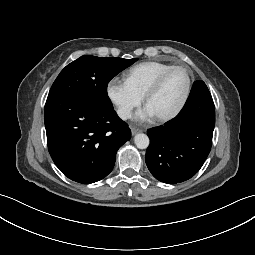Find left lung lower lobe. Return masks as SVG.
<instances>
[{
    "mask_svg": "<svg viewBox=\"0 0 255 255\" xmlns=\"http://www.w3.org/2000/svg\"><path fill=\"white\" fill-rule=\"evenodd\" d=\"M214 125L212 96L203 81H195L180 113L148 130L150 145L145 160L151 174L168 184L193 177L211 150Z\"/></svg>",
    "mask_w": 255,
    "mask_h": 255,
    "instance_id": "1",
    "label": "left lung lower lobe"
}]
</instances>
